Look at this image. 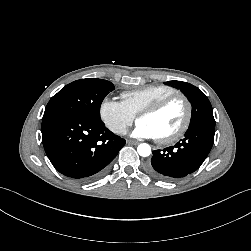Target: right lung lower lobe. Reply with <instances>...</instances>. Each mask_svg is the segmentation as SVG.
<instances>
[{
	"instance_id": "right-lung-lower-lobe-1",
	"label": "right lung lower lobe",
	"mask_w": 251,
	"mask_h": 251,
	"mask_svg": "<svg viewBox=\"0 0 251 251\" xmlns=\"http://www.w3.org/2000/svg\"><path fill=\"white\" fill-rule=\"evenodd\" d=\"M42 142L52 165L80 182L100 177L125 145L100 119L68 114L43 116Z\"/></svg>"
}]
</instances>
